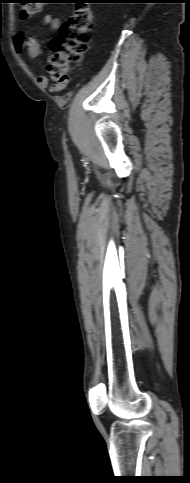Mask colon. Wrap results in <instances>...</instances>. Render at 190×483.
<instances>
[{
    "label": "colon",
    "mask_w": 190,
    "mask_h": 483,
    "mask_svg": "<svg viewBox=\"0 0 190 483\" xmlns=\"http://www.w3.org/2000/svg\"><path fill=\"white\" fill-rule=\"evenodd\" d=\"M21 17L30 19L36 16L42 3L40 0H23ZM94 26V16L89 6L79 5L63 23L58 35L50 41L53 54L48 58L47 72L62 88L69 82L70 64L78 63L89 49Z\"/></svg>",
    "instance_id": "1"
}]
</instances>
